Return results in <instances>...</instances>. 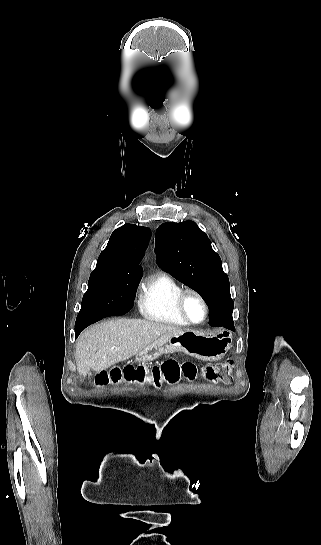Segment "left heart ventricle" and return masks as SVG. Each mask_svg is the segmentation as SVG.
Instances as JSON below:
<instances>
[{
  "label": "left heart ventricle",
  "instance_id": "b2bd125f",
  "mask_svg": "<svg viewBox=\"0 0 321 545\" xmlns=\"http://www.w3.org/2000/svg\"><path fill=\"white\" fill-rule=\"evenodd\" d=\"M184 307L187 315L193 320V321H200L203 318L204 315V308L198 297L195 295H188L185 298Z\"/></svg>",
  "mask_w": 321,
  "mask_h": 545
}]
</instances>
